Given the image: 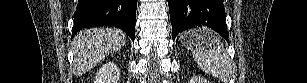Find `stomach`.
Masks as SVG:
<instances>
[{
    "label": "stomach",
    "instance_id": "0dacf381",
    "mask_svg": "<svg viewBox=\"0 0 307 83\" xmlns=\"http://www.w3.org/2000/svg\"><path fill=\"white\" fill-rule=\"evenodd\" d=\"M193 33V31H188L185 32L182 36H181V41L182 44L189 49H192L194 46L192 38H191V34Z\"/></svg>",
    "mask_w": 307,
    "mask_h": 83
}]
</instances>
